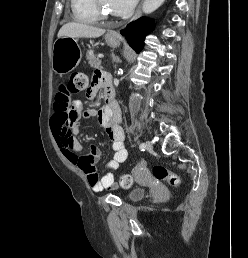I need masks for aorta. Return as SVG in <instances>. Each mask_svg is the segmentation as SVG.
Segmentation results:
<instances>
[{
	"label": "aorta",
	"instance_id": "obj_1",
	"mask_svg": "<svg viewBox=\"0 0 248 258\" xmlns=\"http://www.w3.org/2000/svg\"><path fill=\"white\" fill-rule=\"evenodd\" d=\"M165 0H145L143 3L142 10L144 13H152L158 7H160Z\"/></svg>",
	"mask_w": 248,
	"mask_h": 258
}]
</instances>
